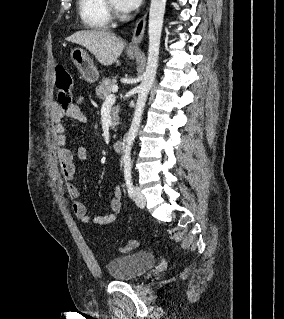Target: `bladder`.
<instances>
[{"mask_svg":"<svg viewBox=\"0 0 284 319\" xmlns=\"http://www.w3.org/2000/svg\"><path fill=\"white\" fill-rule=\"evenodd\" d=\"M156 263V256L150 251H139L123 255L107 263L109 276L118 281L134 280L145 274Z\"/></svg>","mask_w":284,"mask_h":319,"instance_id":"31cf9c89","label":"bladder"}]
</instances>
